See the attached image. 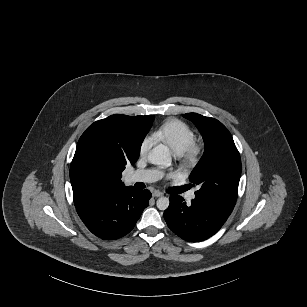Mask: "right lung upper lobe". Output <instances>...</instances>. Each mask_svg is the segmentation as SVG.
Here are the masks:
<instances>
[{"label":"right lung upper lobe","mask_w":307,"mask_h":307,"mask_svg":"<svg viewBox=\"0 0 307 307\" xmlns=\"http://www.w3.org/2000/svg\"><path fill=\"white\" fill-rule=\"evenodd\" d=\"M154 120L153 115H112L94 122L80 137L70 167L76 207L113 189L126 164H134Z\"/></svg>","instance_id":"1"}]
</instances>
